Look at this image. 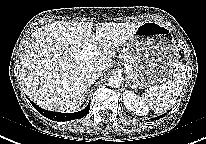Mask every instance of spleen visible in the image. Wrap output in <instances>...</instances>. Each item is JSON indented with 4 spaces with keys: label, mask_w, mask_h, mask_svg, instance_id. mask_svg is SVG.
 Listing matches in <instances>:
<instances>
[{
    "label": "spleen",
    "mask_w": 206,
    "mask_h": 144,
    "mask_svg": "<svg viewBox=\"0 0 206 144\" xmlns=\"http://www.w3.org/2000/svg\"><path fill=\"white\" fill-rule=\"evenodd\" d=\"M173 76L159 86L151 87L143 94V100L155 113H163L176 102L185 83V69L182 64H177Z\"/></svg>",
    "instance_id": "1"
}]
</instances>
